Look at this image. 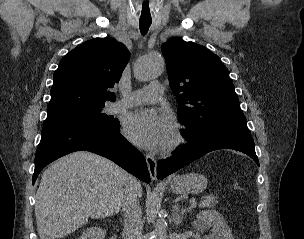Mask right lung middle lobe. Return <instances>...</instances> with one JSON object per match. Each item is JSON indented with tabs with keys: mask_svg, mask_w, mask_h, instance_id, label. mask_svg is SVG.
Wrapping results in <instances>:
<instances>
[{
	"mask_svg": "<svg viewBox=\"0 0 304 239\" xmlns=\"http://www.w3.org/2000/svg\"><path fill=\"white\" fill-rule=\"evenodd\" d=\"M104 107L79 110L71 113L47 117L43 129H57L69 127H87L96 129H113L119 126V121L104 113Z\"/></svg>",
	"mask_w": 304,
	"mask_h": 239,
	"instance_id": "dd1d6c3e",
	"label": "right lung middle lobe"
}]
</instances>
